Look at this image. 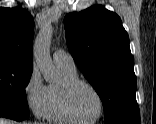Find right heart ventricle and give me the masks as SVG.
Listing matches in <instances>:
<instances>
[{
	"label": "right heart ventricle",
	"instance_id": "obj_1",
	"mask_svg": "<svg viewBox=\"0 0 156 124\" xmlns=\"http://www.w3.org/2000/svg\"><path fill=\"white\" fill-rule=\"evenodd\" d=\"M62 79L58 83L50 84L48 89V115L47 118L54 123L70 124L76 123L66 113L63 101H62V84L66 81L74 80L78 78V74L75 69L58 66Z\"/></svg>",
	"mask_w": 156,
	"mask_h": 124
}]
</instances>
